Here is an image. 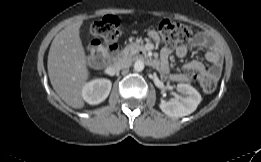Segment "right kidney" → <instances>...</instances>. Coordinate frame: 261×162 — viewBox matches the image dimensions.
<instances>
[{
    "label": "right kidney",
    "instance_id": "1",
    "mask_svg": "<svg viewBox=\"0 0 261 162\" xmlns=\"http://www.w3.org/2000/svg\"><path fill=\"white\" fill-rule=\"evenodd\" d=\"M111 87L112 83L108 79L92 80L83 87L82 97L88 104H99L108 97Z\"/></svg>",
    "mask_w": 261,
    "mask_h": 162
}]
</instances>
